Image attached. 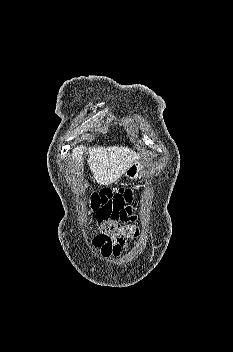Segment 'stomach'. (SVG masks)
<instances>
[{
    "label": "stomach",
    "mask_w": 233,
    "mask_h": 352,
    "mask_svg": "<svg viewBox=\"0 0 233 352\" xmlns=\"http://www.w3.org/2000/svg\"><path fill=\"white\" fill-rule=\"evenodd\" d=\"M145 174V162L141 159L135 161L125 172V176L129 179H138Z\"/></svg>",
    "instance_id": "1"
}]
</instances>
